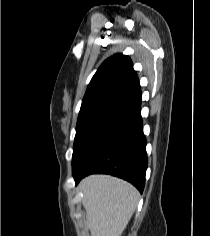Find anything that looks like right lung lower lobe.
I'll return each instance as SVG.
<instances>
[{
    "label": "right lung lower lobe",
    "instance_id": "obj_1",
    "mask_svg": "<svg viewBox=\"0 0 210 236\" xmlns=\"http://www.w3.org/2000/svg\"><path fill=\"white\" fill-rule=\"evenodd\" d=\"M141 102L139 88L85 138L72 159L76 185L89 174L106 173L129 181L143 192L148 162Z\"/></svg>",
    "mask_w": 210,
    "mask_h": 236
}]
</instances>
